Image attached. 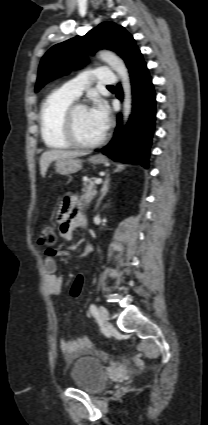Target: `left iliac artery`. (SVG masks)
Instances as JSON below:
<instances>
[{"label": "left iliac artery", "mask_w": 208, "mask_h": 425, "mask_svg": "<svg viewBox=\"0 0 208 425\" xmlns=\"http://www.w3.org/2000/svg\"><path fill=\"white\" fill-rule=\"evenodd\" d=\"M90 312H91V314H92L93 316H97V315H98V310H97L96 305H94V304H91V305H90Z\"/></svg>", "instance_id": "left-iliac-artery-1"}]
</instances>
